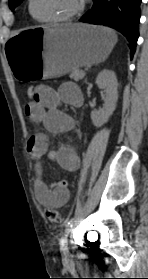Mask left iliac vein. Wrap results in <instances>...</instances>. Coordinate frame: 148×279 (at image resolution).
Segmentation results:
<instances>
[{"label":"left iliac vein","instance_id":"left-iliac-vein-1","mask_svg":"<svg viewBox=\"0 0 148 279\" xmlns=\"http://www.w3.org/2000/svg\"><path fill=\"white\" fill-rule=\"evenodd\" d=\"M70 231L71 230L65 232L64 238L61 241V251H62L64 257H68V255H69L68 246H67V237L69 236Z\"/></svg>","mask_w":148,"mask_h":279}]
</instances>
